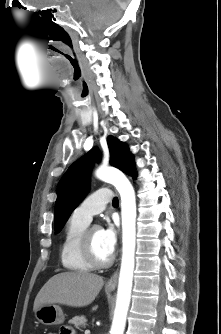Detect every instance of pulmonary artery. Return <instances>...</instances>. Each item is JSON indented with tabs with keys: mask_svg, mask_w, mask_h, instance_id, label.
<instances>
[{
	"mask_svg": "<svg viewBox=\"0 0 221 334\" xmlns=\"http://www.w3.org/2000/svg\"><path fill=\"white\" fill-rule=\"evenodd\" d=\"M113 199V193L108 188H100L90 194L74 210L73 215L87 223H90L92 217L103 211L106 205Z\"/></svg>",
	"mask_w": 221,
	"mask_h": 334,
	"instance_id": "obj_1",
	"label": "pulmonary artery"
}]
</instances>
